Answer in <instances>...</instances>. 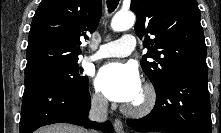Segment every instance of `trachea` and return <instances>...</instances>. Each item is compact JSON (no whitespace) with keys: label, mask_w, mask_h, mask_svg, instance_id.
I'll list each match as a JSON object with an SVG mask.
<instances>
[{"label":"trachea","mask_w":221,"mask_h":133,"mask_svg":"<svg viewBox=\"0 0 221 133\" xmlns=\"http://www.w3.org/2000/svg\"><path fill=\"white\" fill-rule=\"evenodd\" d=\"M118 4L119 0H107V7L110 12L114 11Z\"/></svg>","instance_id":"1"}]
</instances>
